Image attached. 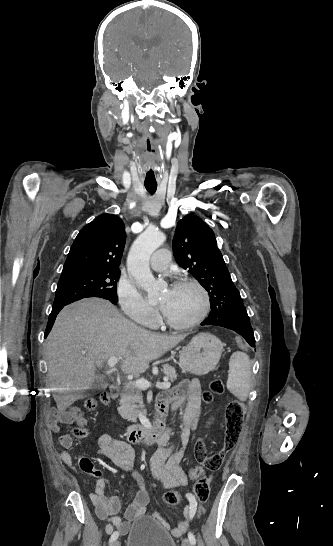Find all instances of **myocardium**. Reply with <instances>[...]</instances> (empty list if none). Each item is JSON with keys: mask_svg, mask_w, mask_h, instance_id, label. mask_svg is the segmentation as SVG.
Returning <instances> with one entry per match:
<instances>
[{"mask_svg": "<svg viewBox=\"0 0 333 546\" xmlns=\"http://www.w3.org/2000/svg\"><path fill=\"white\" fill-rule=\"evenodd\" d=\"M181 286H192L199 291L202 298V305H201L199 313L194 319L185 323L175 322L171 320L169 317H167L165 313L163 314V320L166 325H168L169 327L173 329L188 330L199 325L206 318V316L208 315L210 311L211 299L207 289L203 286V284L194 278H190V277L181 278L178 281H176L174 284V287H181Z\"/></svg>", "mask_w": 333, "mask_h": 546, "instance_id": "1", "label": "myocardium"}]
</instances>
